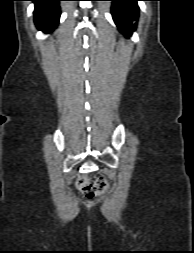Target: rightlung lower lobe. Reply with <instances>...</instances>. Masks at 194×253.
<instances>
[{
  "label": "right lung lower lobe",
  "instance_id": "1",
  "mask_svg": "<svg viewBox=\"0 0 194 253\" xmlns=\"http://www.w3.org/2000/svg\"><path fill=\"white\" fill-rule=\"evenodd\" d=\"M35 3L34 21L38 29L44 32L52 31L59 22L62 0H30Z\"/></svg>",
  "mask_w": 194,
  "mask_h": 253
}]
</instances>
